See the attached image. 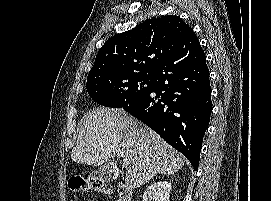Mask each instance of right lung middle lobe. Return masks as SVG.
Wrapping results in <instances>:
<instances>
[{
	"instance_id": "obj_1",
	"label": "right lung middle lobe",
	"mask_w": 271,
	"mask_h": 201,
	"mask_svg": "<svg viewBox=\"0 0 271 201\" xmlns=\"http://www.w3.org/2000/svg\"><path fill=\"white\" fill-rule=\"evenodd\" d=\"M154 74H110L87 78V91L100 105L120 108L125 102L148 92Z\"/></svg>"
}]
</instances>
